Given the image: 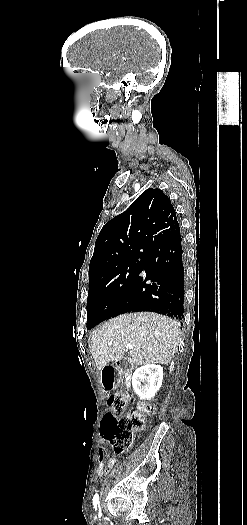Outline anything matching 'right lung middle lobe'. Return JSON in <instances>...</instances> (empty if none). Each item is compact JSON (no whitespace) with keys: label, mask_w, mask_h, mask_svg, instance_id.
Returning <instances> with one entry per match:
<instances>
[{"label":"right lung middle lobe","mask_w":247,"mask_h":525,"mask_svg":"<svg viewBox=\"0 0 247 525\" xmlns=\"http://www.w3.org/2000/svg\"><path fill=\"white\" fill-rule=\"evenodd\" d=\"M139 259L125 267L89 274L87 329L114 316L142 270L143 258Z\"/></svg>","instance_id":"right-lung-middle-lobe-1"}]
</instances>
